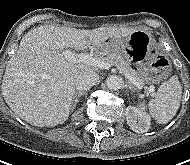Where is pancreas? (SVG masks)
<instances>
[{
	"mask_svg": "<svg viewBox=\"0 0 190 165\" xmlns=\"http://www.w3.org/2000/svg\"><path fill=\"white\" fill-rule=\"evenodd\" d=\"M96 58L100 59L103 62L111 63L112 65H116L121 72L130 74L133 78H135V80L138 83H140L142 85L144 84L141 77H139V74L134 69H132V67L123 59V57L120 54L114 52V53H110L106 56L98 55Z\"/></svg>",
	"mask_w": 190,
	"mask_h": 165,
	"instance_id": "obj_1",
	"label": "pancreas"
}]
</instances>
